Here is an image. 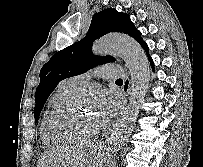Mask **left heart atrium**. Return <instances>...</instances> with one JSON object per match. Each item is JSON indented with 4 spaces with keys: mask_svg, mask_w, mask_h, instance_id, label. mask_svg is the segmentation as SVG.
<instances>
[{
    "mask_svg": "<svg viewBox=\"0 0 203 167\" xmlns=\"http://www.w3.org/2000/svg\"><path fill=\"white\" fill-rule=\"evenodd\" d=\"M118 108L117 101L108 94H102L98 100V111L96 112L101 127L106 126L114 117Z\"/></svg>",
    "mask_w": 203,
    "mask_h": 167,
    "instance_id": "left-heart-atrium-1",
    "label": "left heart atrium"
}]
</instances>
